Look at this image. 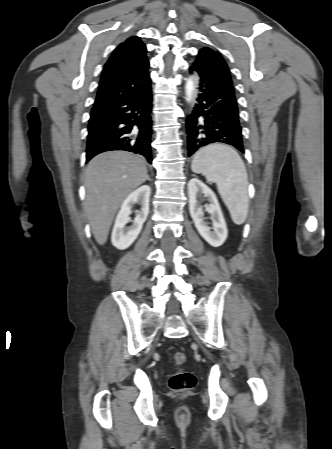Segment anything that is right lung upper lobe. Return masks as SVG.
<instances>
[{"label": "right lung upper lobe", "mask_w": 332, "mask_h": 449, "mask_svg": "<svg viewBox=\"0 0 332 449\" xmlns=\"http://www.w3.org/2000/svg\"><path fill=\"white\" fill-rule=\"evenodd\" d=\"M147 49L137 36L128 38L104 66L94 104L141 95L150 88Z\"/></svg>", "instance_id": "1"}]
</instances>
